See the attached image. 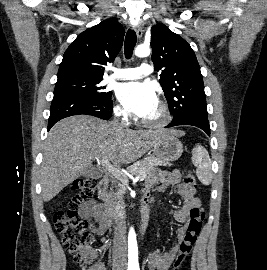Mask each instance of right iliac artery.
Returning a JSON list of instances; mask_svg holds the SVG:
<instances>
[{
    "mask_svg": "<svg viewBox=\"0 0 267 270\" xmlns=\"http://www.w3.org/2000/svg\"><path fill=\"white\" fill-rule=\"evenodd\" d=\"M127 270H133V267L132 266H129Z\"/></svg>",
    "mask_w": 267,
    "mask_h": 270,
    "instance_id": "obj_1",
    "label": "right iliac artery"
}]
</instances>
